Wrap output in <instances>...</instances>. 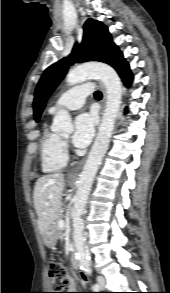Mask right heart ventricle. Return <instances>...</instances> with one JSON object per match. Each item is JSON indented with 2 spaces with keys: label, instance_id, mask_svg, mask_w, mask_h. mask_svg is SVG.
Here are the masks:
<instances>
[{
  "label": "right heart ventricle",
  "instance_id": "obj_1",
  "mask_svg": "<svg viewBox=\"0 0 170 293\" xmlns=\"http://www.w3.org/2000/svg\"><path fill=\"white\" fill-rule=\"evenodd\" d=\"M68 157L61 139L53 132L48 123L42 127L40 139V166L43 172L52 173L61 170L67 164Z\"/></svg>",
  "mask_w": 170,
  "mask_h": 293
}]
</instances>
